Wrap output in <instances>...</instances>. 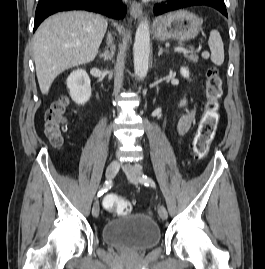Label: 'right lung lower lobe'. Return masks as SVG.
Listing matches in <instances>:
<instances>
[{
    "instance_id": "1",
    "label": "right lung lower lobe",
    "mask_w": 265,
    "mask_h": 269,
    "mask_svg": "<svg viewBox=\"0 0 265 269\" xmlns=\"http://www.w3.org/2000/svg\"><path fill=\"white\" fill-rule=\"evenodd\" d=\"M118 2L119 0H40L35 13L34 31L45 18L59 11L87 10L122 18L126 8Z\"/></svg>"
}]
</instances>
